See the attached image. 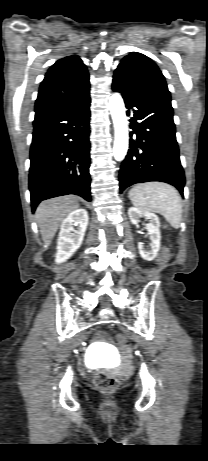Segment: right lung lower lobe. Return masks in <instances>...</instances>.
I'll list each match as a JSON object with an SVG mask.
<instances>
[{
	"label": "right lung lower lobe",
	"mask_w": 208,
	"mask_h": 461,
	"mask_svg": "<svg viewBox=\"0 0 208 461\" xmlns=\"http://www.w3.org/2000/svg\"><path fill=\"white\" fill-rule=\"evenodd\" d=\"M90 97L35 117L30 149L32 211L45 199L90 196Z\"/></svg>",
	"instance_id": "98d812e1"
}]
</instances>
